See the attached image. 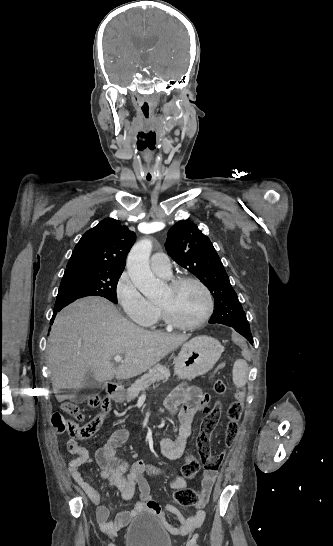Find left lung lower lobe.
I'll return each instance as SVG.
<instances>
[{"instance_id":"0a47b994","label":"left lung lower lobe","mask_w":333,"mask_h":546,"mask_svg":"<svg viewBox=\"0 0 333 546\" xmlns=\"http://www.w3.org/2000/svg\"><path fill=\"white\" fill-rule=\"evenodd\" d=\"M209 323H219V324H224V323H220L218 322L217 320L211 318L209 320ZM224 325H227V326H230V327H233L238 333H240L241 335H243L251 344L253 343V338H252V334L250 332V326H249V323L247 320H241L239 322H237L235 325L231 326V325H228V324H224Z\"/></svg>"}]
</instances>
